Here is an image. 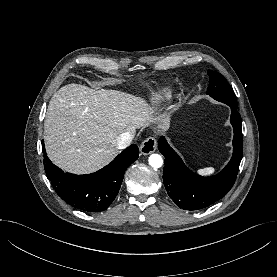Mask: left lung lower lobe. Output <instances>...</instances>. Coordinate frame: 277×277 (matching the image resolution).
<instances>
[{
    "instance_id": "obj_1",
    "label": "left lung lower lobe",
    "mask_w": 277,
    "mask_h": 277,
    "mask_svg": "<svg viewBox=\"0 0 277 277\" xmlns=\"http://www.w3.org/2000/svg\"><path fill=\"white\" fill-rule=\"evenodd\" d=\"M231 107L230 122L234 129L233 155L227 166L217 175L202 177L192 172L161 137L159 151L165 157L163 182L176 205L184 210L204 209L226 195L232 188L242 159V121L237 108Z\"/></svg>"
}]
</instances>
